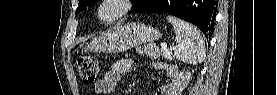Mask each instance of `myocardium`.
I'll use <instances>...</instances> for the list:
<instances>
[{
	"mask_svg": "<svg viewBox=\"0 0 277 95\" xmlns=\"http://www.w3.org/2000/svg\"><path fill=\"white\" fill-rule=\"evenodd\" d=\"M108 8V12L105 11ZM132 9V1L130 0H103L97 9L99 20L105 24H111Z\"/></svg>",
	"mask_w": 277,
	"mask_h": 95,
	"instance_id": "myocardium-1",
	"label": "myocardium"
}]
</instances>
